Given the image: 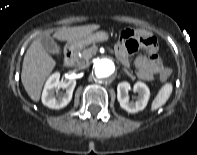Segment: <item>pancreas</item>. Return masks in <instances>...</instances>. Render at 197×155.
Masks as SVG:
<instances>
[{
	"label": "pancreas",
	"mask_w": 197,
	"mask_h": 155,
	"mask_svg": "<svg viewBox=\"0 0 197 155\" xmlns=\"http://www.w3.org/2000/svg\"><path fill=\"white\" fill-rule=\"evenodd\" d=\"M97 52V47L95 45L87 48V49H84L82 52H81V55L80 57H78L76 59V64L79 66L81 64H84L85 62H87L89 59H91Z\"/></svg>",
	"instance_id": "pancreas-1"
}]
</instances>
